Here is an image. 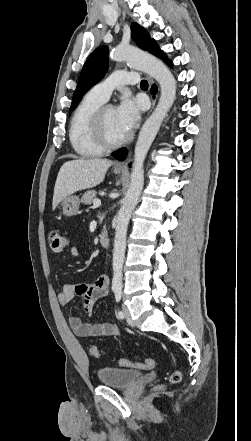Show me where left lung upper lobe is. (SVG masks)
<instances>
[{"label":"left lung upper lobe","instance_id":"1","mask_svg":"<svg viewBox=\"0 0 251 441\" xmlns=\"http://www.w3.org/2000/svg\"><path fill=\"white\" fill-rule=\"evenodd\" d=\"M131 34L139 48L152 53L158 58L164 56L155 40L150 37L149 33L142 26L132 23ZM107 69L108 47L101 46L89 56L82 68L69 112H72L81 101L83 95L103 78Z\"/></svg>","mask_w":251,"mask_h":441}]
</instances>
